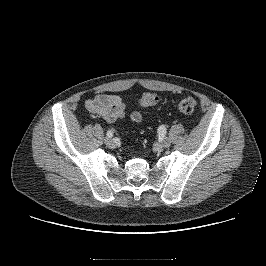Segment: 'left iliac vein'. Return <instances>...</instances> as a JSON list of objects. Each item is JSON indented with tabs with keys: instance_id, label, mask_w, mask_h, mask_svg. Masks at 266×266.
Returning a JSON list of instances; mask_svg holds the SVG:
<instances>
[{
	"instance_id": "left-iliac-vein-1",
	"label": "left iliac vein",
	"mask_w": 266,
	"mask_h": 266,
	"mask_svg": "<svg viewBox=\"0 0 266 266\" xmlns=\"http://www.w3.org/2000/svg\"><path fill=\"white\" fill-rule=\"evenodd\" d=\"M162 148H168L170 146V140L168 138H163L160 142Z\"/></svg>"
}]
</instances>
